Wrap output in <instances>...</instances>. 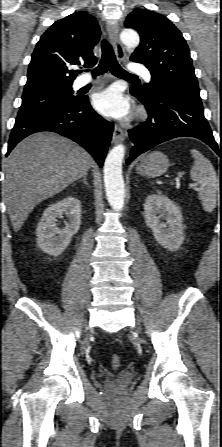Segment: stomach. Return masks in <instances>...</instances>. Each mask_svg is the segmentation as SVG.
Segmentation results:
<instances>
[{
	"instance_id": "1",
	"label": "stomach",
	"mask_w": 222,
	"mask_h": 447,
	"mask_svg": "<svg viewBox=\"0 0 222 447\" xmlns=\"http://www.w3.org/2000/svg\"><path fill=\"white\" fill-rule=\"evenodd\" d=\"M169 167L167 156L161 152L153 151L141 159L137 166V173L147 177H157L164 174Z\"/></svg>"
}]
</instances>
